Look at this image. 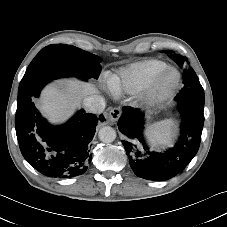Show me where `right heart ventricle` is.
I'll return each mask as SVG.
<instances>
[{"mask_svg": "<svg viewBox=\"0 0 227 227\" xmlns=\"http://www.w3.org/2000/svg\"><path fill=\"white\" fill-rule=\"evenodd\" d=\"M167 67L166 62L157 59H145L132 63L109 79V87L117 94L138 93L145 89L154 77Z\"/></svg>", "mask_w": 227, "mask_h": 227, "instance_id": "right-heart-ventricle-1", "label": "right heart ventricle"}]
</instances>
